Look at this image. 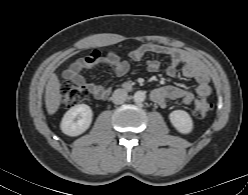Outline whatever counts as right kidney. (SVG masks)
Wrapping results in <instances>:
<instances>
[{"label": "right kidney", "mask_w": 248, "mask_h": 195, "mask_svg": "<svg viewBox=\"0 0 248 195\" xmlns=\"http://www.w3.org/2000/svg\"><path fill=\"white\" fill-rule=\"evenodd\" d=\"M92 109L86 104L71 107L63 116L61 130L68 136H78L85 132L91 125Z\"/></svg>", "instance_id": "obj_1"}]
</instances>
